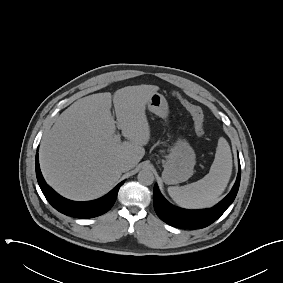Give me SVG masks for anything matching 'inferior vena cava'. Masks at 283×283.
I'll return each instance as SVG.
<instances>
[{
    "instance_id": "obj_1",
    "label": "inferior vena cava",
    "mask_w": 283,
    "mask_h": 283,
    "mask_svg": "<svg viewBox=\"0 0 283 283\" xmlns=\"http://www.w3.org/2000/svg\"><path fill=\"white\" fill-rule=\"evenodd\" d=\"M131 168V164L129 162H121L119 164V169L122 171V172H125V171H128L130 170Z\"/></svg>"
}]
</instances>
